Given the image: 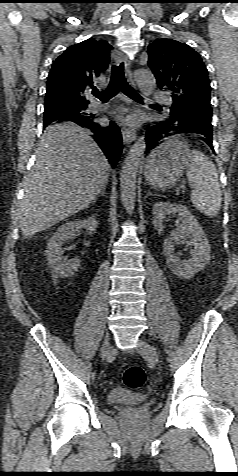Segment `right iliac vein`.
<instances>
[{
    "label": "right iliac vein",
    "instance_id": "63e3f726",
    "mask_svg": "<svg viewBox=\"0 0 238 476\" xmlns=\"http://www.w3.org/2000/svg\"><path fill=\"white\" fill-rule=\"evenodd\" d=\"M111 352H112V347L109 343V340L106 339L105 342L103 343L101 354L105 358V357H108L111 354Z\"/></svg>",
    "mask_w": 238,
    "mask_h": 476
}]
</instances>
